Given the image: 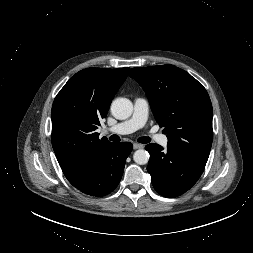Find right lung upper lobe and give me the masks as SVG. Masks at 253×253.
Returning <instances> with one entry per match:
<instances>
[{
  "label": "right lung upper lobe",
  "instance_id": "right-lung-upper-lobe-1",
  "mask_svg": "<svg viewBox=\"0 0 253 253\" xmlns=\"http://www.w3.org/2000/svg\"><path fill=\"white\" fill-rule=\"evenodd\" d=\"M129 68H86L72 76L52 106V146L68 179L80 176L109 141L95 131L127 78Z\"/></svg>",
  "mask_w": 253,
  "mask_h": 253
}]
</instances>
